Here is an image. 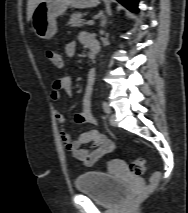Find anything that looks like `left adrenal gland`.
Masks as SVG:
<instances>
[{
  "label": "left adrenal gland",
  "instance_id": "obj_1",
  "mask_svg": "<svg viewBox=\"0 0 188 213\" xmlns=\"http://www.w3.org/2000/svg\"><path fill=\"white\" fill-rule=\"evenodd\" d=\"M105 25H106V18L105 15H103L101 20V26L104 27Z\"/></svg>",
  "mask_w": 188,
  "mask_h": 213
}]
</instances>
